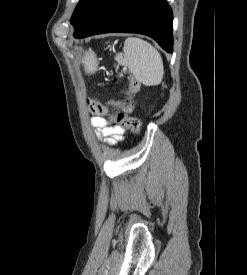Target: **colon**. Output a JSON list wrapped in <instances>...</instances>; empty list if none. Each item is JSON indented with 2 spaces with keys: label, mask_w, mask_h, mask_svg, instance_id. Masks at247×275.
<instances>
[{
  "label": "colon",
  "mask_w": 247,
  "mask_h": 275,
  "mask_svg": "<svg viewBox=\"0 0 247 275\" xmlns=\"http://www.w3.org/2000/svg\"><path fill=\"white\" fill-rule=\"evenodd\" d=\"M139 82L134 77H129L126 83V93L133 95L139 90ZM87 105L91 113L95 115L107 114V109L101 103L93 99H87ZM110 105L116 108V111L109 115L110 120L116 125L123 128H127L134 133H139L141 124L138 119L130 116L132 111L131 103H122L119 101H110Z\"/></svg>",
  "instance_id": "obj_1"
}]
</instances>
